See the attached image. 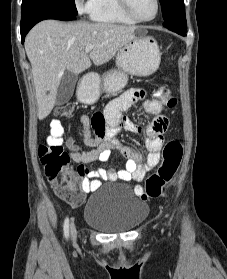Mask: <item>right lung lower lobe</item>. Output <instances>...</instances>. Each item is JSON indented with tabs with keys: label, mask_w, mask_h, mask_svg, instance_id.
Here are the masks:
<instances>
[{
	"label": "right lung lower lobe",
	"mask_w": 227,
	"mask_h": 279,
	"mask_svg": "<svg viewBox=\"0 0 227 279\" xmlns=\"http://www.w3.org/2000/svg\"><path fill=\"white\" fill-rule=\"evenodd\" d=\"M45 19L75 20L76 15L67 12L60 6L48 1H38L25 12L21 13V39L24 42L26 34L38 22Z\"/></svg>",
	"instance_id": "right-lung-lower-lobe-1"
}]
</instances>
